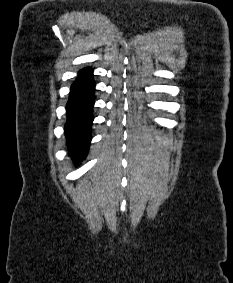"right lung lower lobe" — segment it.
<instances>
[{
    "mask_svg": "<svg viewBox=\"0 0 233 283\" xmlns=\"http://www.w3.org/2000/svg\"><path fill=\"white\" fill-rule=\"evenodd\" d=\"M95 84L91 68L79 72L73 83L66 106L65 134L74 162L82 161L91 141Z\"/></svg>",
    "mask_w": 233,
    "mask_h": 283,
    "instance_id": "1",
    "label": "right lung lower lobe"
}]
</instances>
